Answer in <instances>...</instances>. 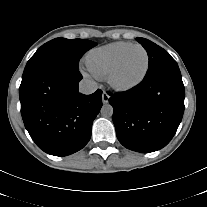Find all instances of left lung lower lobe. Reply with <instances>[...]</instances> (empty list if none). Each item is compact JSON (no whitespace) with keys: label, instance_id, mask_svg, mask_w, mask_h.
I'll list each match as a JSON object with an SVG mask.
<instances>
[{"label":"left lung lower lobe","instance_id":"0a47b994","mask_svg":"<svg viewBox=\"0 0 207 207\" xmlns=\"http://www.w3.org/2000/svg\"><path fill=\"white\" fill-rule=\"evenodd\" d=\"M108 94L117 138L130 150L149 153L163 148L182 120L185 91L178 65L145 77L125 94Z\"/></svg>","mask_w":207,"mask_h":207}]
</instances>
